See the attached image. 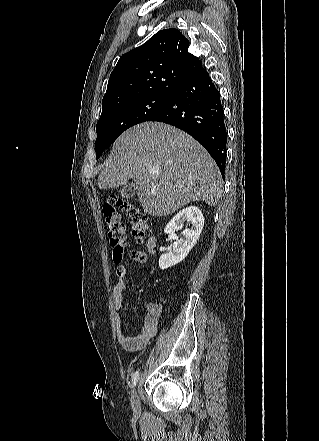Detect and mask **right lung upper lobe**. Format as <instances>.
Masks as SVG:
<instances>
[{
    "mask_svg": "<svg viewBox=\"0 0 319 441\" xmlns=\"http://www.w3.org/2000/svg\"><path fill=\"white\" fill-rule=\"evenodd\" d=\"M188 48L189 40L169 28L123 55L110 75L102 111L142 97L171 98L185 81L204 69Z\"/></svg>",
    "mask_w": 319,
    "mask_h": 441,
    "instance_id": "right-lung-upper-lobe-1",
    "label": "right lung upper lobe"
}]
</instances>
